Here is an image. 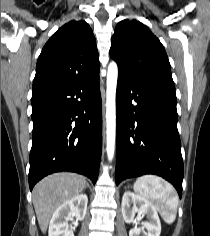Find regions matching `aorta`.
Masks as SVG:
<instances>
[{
    "label": "aorta",
    "mask_w": 210,
    "mask_h": 236,
    "mask_svg": "<svg viewBox=\"0 0 210 236\" xmlns=\"http://www.w3.org/2000/svg\"><path fill=\"white\" fill-rule=\"evenodd\" d=\"M118 78V67L115 62L108 66L107 90H106V136L107 156L111 161L115 151L116 137V88Z\"/></svg>",
    "instance_id": "obj_1"
}]
</instances>
